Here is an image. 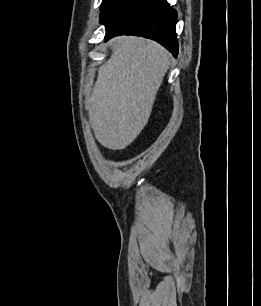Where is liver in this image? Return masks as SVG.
Here are the masks:
<instances>
[{
  "mask_svg": "<svg viewBox=\"0 0 261 306\" xmlns=\"http://www.w3.org/2000/svg\"><path fill=\"white\" fill-rule=\"evenodd\" d=\"M109 44L113 53L98 70L87 109L97 141L105 148L121 150L146 126L169 69L170 54L141 37H116Z\"/></svg>",
  "mask_w": 261,
  "mask_h": 306,
  "instance_id": "liver-1",
  "label": "liver"
}]
</instances>
